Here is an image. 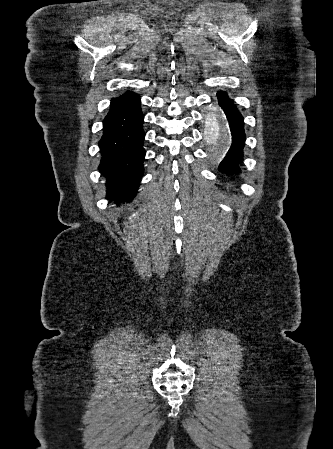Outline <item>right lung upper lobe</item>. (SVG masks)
<instances>
[{"instance_id":"right-lung-upper-lobe-1","label":"right lung upper lobe","mask_w":333,"mask_h":449,"mask_svg":"<svg viewBox=\"0 0 333 449\" xmlns=\"http://www.w3.org/2000/svg\"><path fill=\"white\" fill-rule=\"evenodd\" d=\"M128 94H133V92H128V93L122 95V97H124L125 95H128ZM122 97L115 98V99L112 100V102L117 101V100H119V99L122 98Z\"/></svg>"}]
</instances>
